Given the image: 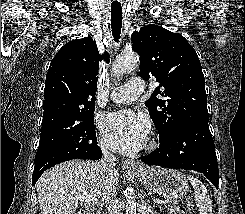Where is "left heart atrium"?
Listing matches in <instances>:
<instances>
[{"mask_svg":"<svg viewBox=\"0 0 245 214\" xmlns=\"http://www.w3.org/2000/svg\"><path fill=\"white\" fill-rule=\"evenodd\" d=\"M99 126L107 145L120 153H130L141 148L149 133L148 120L126 109L104 114Z\"/></svg>","mask_w":245,"mask_h":214,"instance_id":"1","label":"left heart atrium"}]
</instances>
